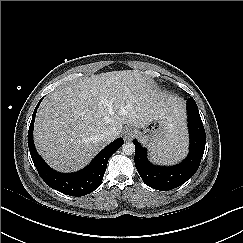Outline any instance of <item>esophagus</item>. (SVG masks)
I'll list each match as a JSON object with an SVG mask.
<instances>
[{"label":"esophagus","instance_id":"esophagus-1","mask_svg":"<svg viewBox=\"0 0 243 243\" xmlns=\"http://www.w3.org/2000/svg\"><path fill=\"white\" fill-rule=\"evenodd\" d=\"M136 136V131L132 127H127L124 130V137L126 140H132Z\"/></svg>","mask_w":243,"mask_h":243}]
</instances>
